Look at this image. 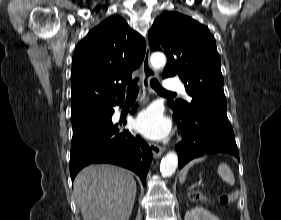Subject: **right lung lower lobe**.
I'll return each instance as SVG.
<instances>
[{"mask_svg":"<svg viewBox=\"0 0 281 220\" xmlns=\"http://www.w3.org/2000/svg\"><path fill=\"white\" fill-rule=\"evenodd\" d=\"M72 122L73 137L70 152V174L74 180L83 167L92 163H111L134 171L145 184L152 160L150 147L139 135L128 130L119 132L112 124L113 106ZM136 107L131 111L134 113Z\"/></svg>","mask_w":281,"mask_h":220,"instance_id":"right-lung-lower-lobe-1","label":"right lung lower lobe"}]
</instances>
